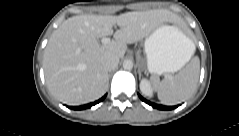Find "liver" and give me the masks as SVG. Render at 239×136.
<instances>
[{"label":"liver","instance_id":"obj_1","mask_svg":"<svg viewBox=\"0 0 239 136\" xmlns=\"http://www.w3.org/2000/svg\"><path fill=\"white\" fill-rule=\"evenodd\" d=\"M166 21L180 23L169 10L154 9L111 15H78L65 20L51 35L44 51L43 68L49 91L68 105L102 97L108 88V71L102 60L123 58L127 44L149 36ZM115 40L100 44L113 34Z\"/></svg>","mask_w":239,"mask_h":136}]
</instances>
